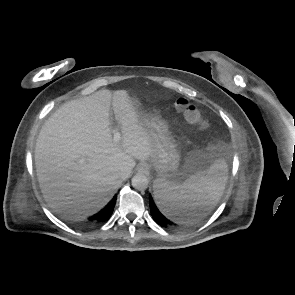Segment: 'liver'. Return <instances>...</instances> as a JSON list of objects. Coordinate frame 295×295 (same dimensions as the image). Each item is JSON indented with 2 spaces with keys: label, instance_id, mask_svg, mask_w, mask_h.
<instances>
[{
  "label": "liver",
  "instance_id": "1",
  "mask_svg": "<svg viewBox=\"0 0 295 295\" xmlns=\"http://www.w3.org/2000/svg\"><path fill=\"white\" fill-rule=\"evenodd\" d=\"M122 139L115 143L110 107ZM153 141L126 90H99L69 101L42 126L35 145V167L45 201L58 213L85 217L113 197L135 167L149 159ZM125 180V179H124Z\"/></svg>",
  "mask_w": 295,
  "mask_h": 295
}]
</instances>
